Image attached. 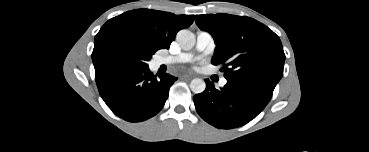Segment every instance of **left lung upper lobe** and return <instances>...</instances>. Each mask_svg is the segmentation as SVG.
I'll list each match as a JSON object with an SVG mask.
<instances>
[{
	"mask_svg": "<svg viewBox=\"0 0 369 152\" xmlns=\"http://www.w3.org/2000/svg\"><path fill=\"white\" fill-rule=\"evenodd\" d=\"M195 21L213 36L212 64L226 63L221 70L227 80L276 86L283 76L285 54L279 37L267 26L224 13L197 15Z\"/></svg>",
	"mask_w": 369,
	"mask_h": 152,
	"instance_id": "obj_1",
	"label": "left lung upper lobe"
}]
</instances>
